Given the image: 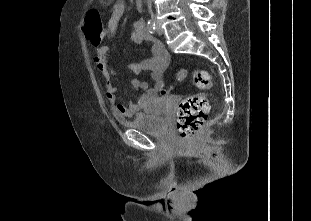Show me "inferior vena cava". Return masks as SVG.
<instances>
[{
	"label": "inferior vena cava",
	"mask_w": 311,
	"mask_h": 221,
	"mask_svg": "<svg viewBox=\"0 0 311 221\" xmlns=\"http://www.w3.org/2000/svg\"><path fill=\"white\" fill-rule=\"evenodd\" d=\"M147 6L150 14H153L152 12V0H147Z\"/></svg>",
	"instance_id": "602c4592"
}]
</instances>
